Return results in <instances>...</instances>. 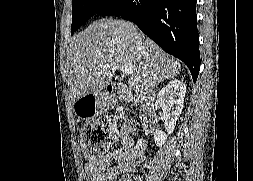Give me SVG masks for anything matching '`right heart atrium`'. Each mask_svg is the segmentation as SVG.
<instances>
[{
	"label": "right heart atrium",
	"mask_w": 253,
	"mask_h": 181,
	"mask_svg": "<svg viewBox=\"0 0 253 181\" xmlns=\"http://www.w3.org/2000/svg\"><path fill=\"white\" fill-rule=\"evenodd\" d=\"M117 1H118V0H108V3H109L110 5H114V4H116Z\"/></svg>",
	"instance_id": "1"
}]
</instances>
